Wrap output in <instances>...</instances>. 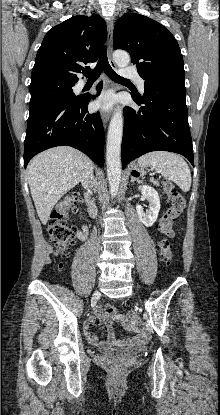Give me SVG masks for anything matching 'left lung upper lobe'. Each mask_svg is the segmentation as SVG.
<instances>
[{
  "instance_id": "obj_1",
  "label": "left lung upper lobe",
  "mask_w": 220,
  "mask_h": 415,
  "mask_svg": "<svg viewBox=\"0 0 220 415\" xmlns=\"http://www.w3.org/2000/svg\"><path fill=\"white\" fill-rule=\"evenodd\" d=\"M114 49L129 52L144 80H184L183 57L174 36L160 23L140 14L127 13L115 24Z\"/></svg>"
}]
</instances>
